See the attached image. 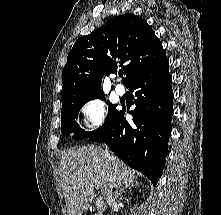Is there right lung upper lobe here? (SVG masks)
Returning a JSON list of instances; mask_svg holds the SVG:
<instances>
[{"label":"right lung upper lobe","instance_id":"cb5924a9","mask_svg":"<svg viewBox=\"0 0 221 215\" xmlns=\"http://www.w3.org/2000/svg\"><path fill=\"white\" fill-rule=\"evenodd\" d=\"M166 57L162 43L147 22L133 13L115 17L79 38L62 72V105L102 95L104 74L122 67L125 85Z\"/></svg>","mask_w":221,"mask_h":215}]
</instances>
